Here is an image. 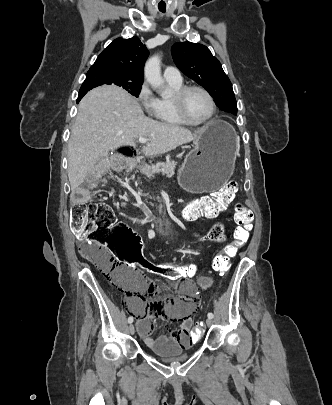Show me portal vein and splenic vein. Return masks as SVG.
<instances>
[{"instance_id": "18ae733b", "label": "portal vein and splenic vein", "mask_w": 332, "mask_h": 405, "mask_svg": "<svg viewBox=\"0 0 332 405\" xmlns=\"http://www.w3.org/2000/svg\"><path fill=\"white\" fill-rule=\"evenodd\" d=\"M138 141H139L141 144H145V143L148 141V139L140 137V138L138 139Z\"/></svg>"}]
</instances>
